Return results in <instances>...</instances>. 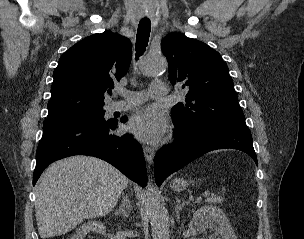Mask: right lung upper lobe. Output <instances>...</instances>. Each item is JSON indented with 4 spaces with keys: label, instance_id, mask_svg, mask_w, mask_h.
Wrapping results in <instances>:
<instances>
[{
    "label": "right lung upper lobe",
    "instance_id": "obj_1",
    "mask_svg": "<svg viewBox=\"0 0 304 239\" xmlns=\"http://www.w3.org/2000/svg\"><path fill=\"white\" fill-rule=\"evenodd\" d=\"M129 39L112 32L86 37L67 50L53 73L47 118L103 108L104 95L128 71Z\"/></svg>",
    "mask_w": 304,
    "mask_h": 239
}]
</instances>
